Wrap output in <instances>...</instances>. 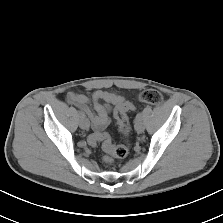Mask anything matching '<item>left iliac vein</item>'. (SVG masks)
I'll use <instances>...</instances> for the list:
<instances>
[{
  "label": "left iliac vein",
  "mask_w": 223,
  "mask_h": 223,
  "mask_svg": "<svg viewBox=\"0 0 223 223\" xmlns=\"http://www.w3.org/2000/svg\"><path fill=\"white\" fill-rule=\"evenodd\" d=\"M134 127H135V130L137 131V133H142L144 131V124L141 119L135 120Z\"/></svg>",
  "instance_id": "obj_1"
}]
</instances>
